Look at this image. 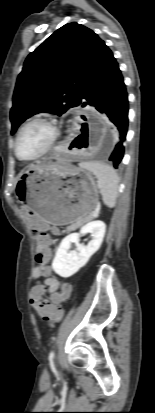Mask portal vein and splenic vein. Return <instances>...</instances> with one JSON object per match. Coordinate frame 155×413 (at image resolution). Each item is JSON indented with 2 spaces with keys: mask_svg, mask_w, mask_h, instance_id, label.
I'll list each match as a JSON object with an SVG mask.
<instances>
[{
  "mask_svg": "<svg viewBox=\"0 0 155 413\" xmlns=\"http://www.w3.org/2000/svg\"><path fill=\"white\" fill-rule=\"evenodd\" d=\"M98 214V212H94V215L96 216Z\"/></svg>",
  "mask_w": 155,
  "mask_h": 413,
  "instance_id": "1",
  "label": "portal vein and splenic vein"
}]
</instances>
